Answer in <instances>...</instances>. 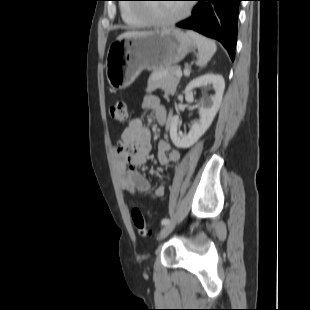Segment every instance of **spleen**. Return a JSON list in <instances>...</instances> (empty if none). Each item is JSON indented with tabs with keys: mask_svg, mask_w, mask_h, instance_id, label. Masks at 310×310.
<instances>
[{
	"mask_svg": "<svg viewBox=\"0 0 310 310\" xmlns=\"http://www.w3.org/2000/svg\"><path fill=\"white\" fill-rule=\"evenodd\" d=\"M187 34L193 39L198 49L197 65L205 66L217 50L215 42L194 31H188Z\"/></svg>",
	"mask_w": 310,
	"mask_h": 310,
	"instance_id": "3e777b00",
	"label": "spleen"
}]
</instances>
